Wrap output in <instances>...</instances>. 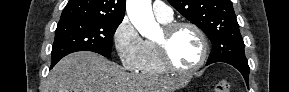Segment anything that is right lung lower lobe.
Returning a JSON list of instances; mask_svg holds the SVG:
<instances>
[{
	"label": "right lung lower lobe",
	"mask_w": 289,
	"mask_h": 92,
	"mask_svg": "<svg viewBox=\"0 0 289 92\" xmlns=\"http://www.w3.org/2000/svg\"><path fill=\"white\" fill-rule=\"evenodd\" d=\"M56 63H51V67H50V69L55 65Z\"/></svg>",
	"instance_id": "1"
}]
</instances>
